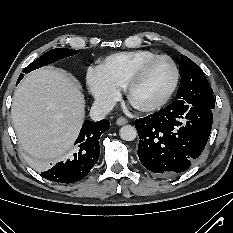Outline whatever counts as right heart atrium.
Instances as JSON below:
<instances>
[{
    "label": "right heart atrium",
    "instance_id": "d8ad5b80",
    "mask_svg": "<svg viewBox=\"0 0 233 233\" xmlns=\"http://www.w3.org/2000/svg\"><path fill=\"white\" fill-rule=\"evenodd\" d=\"M86 80L95 104L104 109L110 108L118 97L119 88L106 77L101 67H89Z\"/></svg>",
    "mask_w": 233,
    "mask_h": 233
}]
</instances>
